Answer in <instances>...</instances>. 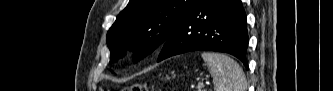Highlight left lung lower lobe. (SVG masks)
<instances>
[{
	"label": "left lung lower lobe",
	"mask_w": 333,
	"mask_h": 91,
	"mask_svg": "<svg viewBox=\"0 0 333 91\" xmlns=\"http://www.w3.org/2000/svg\"><path fill=\"white\" fill-rule=\"evenodd\" d=\"M162 46L158 62L205 50L229 53L248 68L247 21L241 0H198Z\"/></svg>",
	"instance_id": "left-lung-lower-lobe-1"
}]
</instances>
